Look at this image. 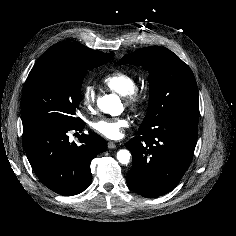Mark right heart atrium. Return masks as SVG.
<instances>
[{
	"mask_svg": "<svg viewBox=\"0 0 236 236\" xmlns=\"http://www.w3.org/2000/svg\"><path fill=\"white\" fill-rule=\"evenodd\" d=\"M81 100L88 110H93L96 101L95 87L90 84L84 85L81 91Z\"/></svg>",
	"mask_w": 236,
	"mask_h": 236,
	"instance_id": "d8ad5b80",
	"label": "right heart atrium"
}]
</instances>
